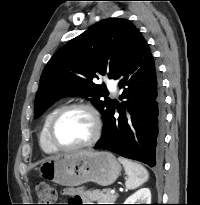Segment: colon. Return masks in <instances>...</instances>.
Returning a JSON list of instances; mask_svg holds the SVG:
<instances>
[{
    "instance_id": "obj_1",
    "label": "colon",
    "mask_w": 200,
    "mask_h": 205,
    "mask_svg": "<svg viewBox=\"0 0 200 205\" xmlns=\"http://www.w3.org/2000/svg\"><path fill=\"white\" fill-rule=\"evenodd\" d=\"M35 192L38 198V205H55L57 199L56 190L47 182L40 181L35 185Z\"/></svg>"
}]
</instances>
